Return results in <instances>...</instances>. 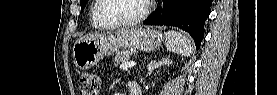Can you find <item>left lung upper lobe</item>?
<instances>
[{"instance_id": "left-lung-upper-lobe-1", "label": "left lung upper lobe", "mask_w": 277, "mask_h": 95, "mask_svg": "<svg viewBox=\"0 0 277 95\" xmlns=\"http://www.w3.org/2000/svg\"><path fill=\"white\" fill-rule=\"evenodd\" d=\"M87 1H88V0H80L81 10L84 9V7H85Z\"/></svg>"}]
</instances>
